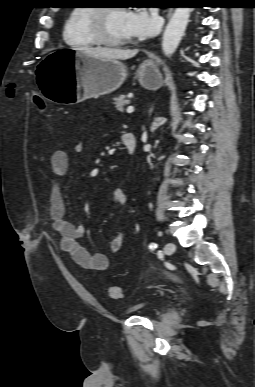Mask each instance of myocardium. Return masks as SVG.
Here are the masks:
<instances>
[{
    "mask_svg": "<svg viewBox=\"0 0 255 387\" xmlns=\"http://www.w3.org/2000/svg\"><path fill=\"white\" fill-rule=\"evenodd\" d=\"M114 9L122 8L102 6L91 9L89 15V28L93 37L99 44L116 47L128 44L130 41L129 38L115 39L108 34L106 27V19L108 13Z\"/></svg>",
    "mask_w": 255,
    "mask_h": 387,
    "instance_id": "obj_1",
    "label": "myocardium"
}]
</instances>
